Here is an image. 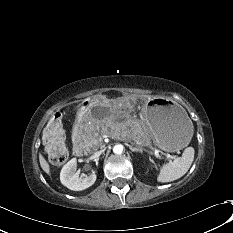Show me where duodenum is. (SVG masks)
I'll list each match as a JSON object with an SVG mask.
<instances>
[{
  "instance_id": "1",
  "label": "duodenum",
  "mask_w": 233,
  "mask_h": 233,
  "mask_svg": "<svg viewBox=\"0 0 233 233\" xmlns=\"http://www.w3.org/2000/svg\"><path fill=\"white\" fill-rule=\"evenodd\" d=\"M87 106L90 108L92 104L89 102ZM78 133H79V128H76L73 134V151L75 154L80 155L83 152V145L77 139Z\"/></svg>"
}]
</instances>
